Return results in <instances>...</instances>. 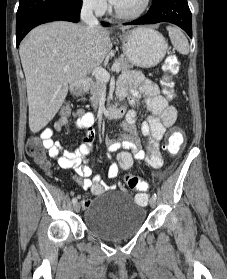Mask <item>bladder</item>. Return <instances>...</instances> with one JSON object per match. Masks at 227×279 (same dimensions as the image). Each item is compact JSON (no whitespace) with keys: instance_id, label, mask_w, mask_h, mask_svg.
Here are the masks:
<instances>
[{"instance_id":"obj_1","label":"bladder","mask_w":227,"mask_h":279,"mask_svg":"<svg viewBox=\"0 0 227 279\" xmlns=\"http://www.w3.org/2000/svg\"><path fill=\"white\" fill-rule=\"evenodd\" d=\"M146 211L128 193L96 196L84 213L89 232L107 241H118L134 235L144 224Z\"/></svg>"}]
</instances>
